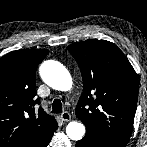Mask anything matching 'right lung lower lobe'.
Returning <instances> with one entry per match:
<instances>
[{"instance_id": "obj_1", "label": "right lung lower lobe", "mask_w": 147, "mask_h": 147, "mask_svg": "<svg viewBox=\"0 0 147 147\" xmlns=\"http://www.w3.org/2000/svg\"><path fill=\"white\" fill-rule=\"evenodd\" d=\"M57 127H58V125L54 128L53 132L43 142L38 144L36 147H47V145L49 144V142L53 136V133L56 131Z\"/></svg>"}]
</instances>
